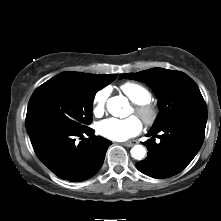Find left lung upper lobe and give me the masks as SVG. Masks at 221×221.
<instances>
[{"label": "left lung upper lobe", "instance_id": "5c2ea615", "mask_svg": "<svg viewBox=\"0 0 221 221\" xmlns=\"http://www.w3.org/2000/svg\"><path fill=\"white\" fill-rule=\"evenodd\" d=\"M151 86L159 101L160 112L151 130L168 125L190 114H207L205 101L196 83L185 73L152 68L138 73L121 75Z\"/></svg>", "mask_w": 221, "mask_h": 221}]
</instances>
